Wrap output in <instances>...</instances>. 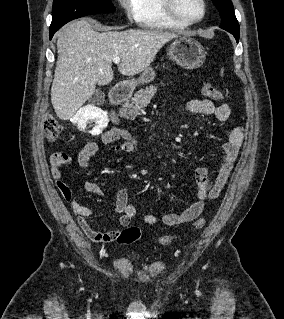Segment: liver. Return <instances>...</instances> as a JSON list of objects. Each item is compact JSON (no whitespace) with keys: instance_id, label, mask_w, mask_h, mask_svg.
I'll use <instances>...</instances> for the list:
<instances>
[{"instance_id":"6515ba94","label":"liver","mask_w":284,"mask_h":319,"mask_svg":"<svg viewBox=\"0 0 284 319\" xmlns=\"http://www.w3.org/2000/svg\"><path fill=\"white\" fill-rule=\"evenodd\" d=\"M177 37L161 30L99 33L86 19L65 25L57 32L58 58L51 87L57 116L68 120L93 95L96 84L113 80V58L121 59L118 71L122 75L134 76L150 66L165 43Z\"/></svg>"}]
</instances>
